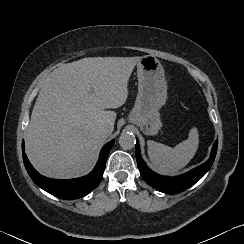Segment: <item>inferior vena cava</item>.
I'll use <instances>...</instances> for the list:
<instances>
[{"mask_svg": "<svg viewBox=\"0 0 244 244\" xmlns=\"http://www.w3.org/2000/svg\"><path fill=\"white\" fill-rule=\"evenodd\" d=\"M99 131L102 135L108 137L112 133L113 128L108 124H103L100 126Z\"/></svg>", "mask_w": 244, "mask_h": 244, "instance_id": "inferior-vena-cava-1", "label": "inferior vena cava"}]
</instances>
